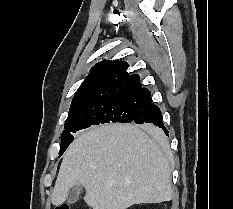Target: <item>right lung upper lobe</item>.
Returning <instances> with one entry per match:
<instances>
[{
  "label": "right lung upper lobe",
  "instance_id": "obj_1",
  "mask_svg": "<svg viewBox=\"0 0 233 209\" xmlns=\"http://www.w3.org/2000/svg\"><path fill=\"white\" fill-rule=\"evenodd\" d=\"M127 68L128 63L119 60L97 63L76 91L70 109L102 101L148 105L150 91L141 86L139 75L128 74Z\"/></svg>",
  "mask_w": 233,
  "mask_h": 209
}]
</instances>
